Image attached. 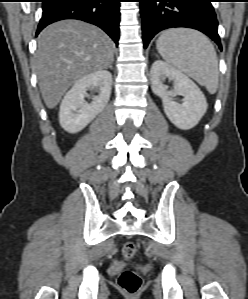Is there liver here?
I'll return each instance as SVG.
<instances>
[{"mask_svg":"<svg viewBox=\"0 0 248 299\" xmlns=\"http://www.w3.org/2000/svg\"><path fill=\"white\" fill-rule=\"evenodd\" d=\"M112 40L98 27L79 20H63L38 36L34 62L46 106L53 109L79 79L107 69L113 62Z\"/></svg>","mask_w":248,"mask_h":299,"instance_id":"1","label":"liver"}]
</instances>
